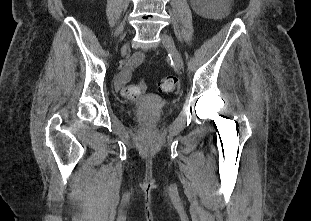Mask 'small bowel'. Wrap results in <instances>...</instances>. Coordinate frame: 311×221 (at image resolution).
Here are the masks:
<instances>
[{"label": "small bowel", "mask_w": 311, "mask_h": 221, "mask_svg": "<svg viewBox=\"0 0 311 221\" xmlns=\"http://www.w3.org/2000/svg\"><path fill=\"white\" fill-rule=\"evenodd\" d=\"M134 61L136 63H143L145 61V55L142 54V53H138L136 56H135V59Z\"/></svg>", "instance_id": "1"}]
</instances>
